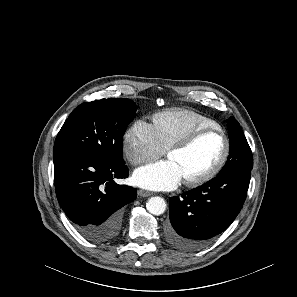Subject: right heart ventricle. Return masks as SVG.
Here are the masks:
<instances>
[{"label": "right heart ventricle", "mask_w": 297, "mask_h": 297, "mask_svg": "<svg viewBox=\"0 0 297 297\" xmlns=\"http://www.w3.org/2000/svg\"><path fill=\"white\" fill-rule=\"evenodd\" d=\"M153 126L159 143L167 150L189 132L198 128L217 126V124L191 111L169 110L155 114Z\"/></svg>", "instance_id": "1"}]
</instances>
